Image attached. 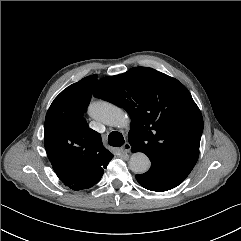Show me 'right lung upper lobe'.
Segmentation results:
<instances>
[{
	"label": "right lung upper lobe",
	"mask_w": 241,
	"mask_h": 241,
	"mask_svg": "<svg viewBox=\"0 0 241 241\" xmlns=\"http://www.w3.org/2000/svg\"><path fill=\"white\" fill-rule=\"evenodd\" d=\"M96 81L97 75H92L70 85L48 109L44 145L52 165L106 168L113 158L103 146L100 134L89 128L83 117Z\"/></svg>",
	"instance_id": "right-lung-upper-lobe-1"
}]
</instances>
